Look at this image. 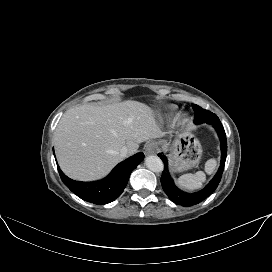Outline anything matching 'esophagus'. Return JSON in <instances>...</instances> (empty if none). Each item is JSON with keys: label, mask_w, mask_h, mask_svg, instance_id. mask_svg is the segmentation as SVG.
Listing matches in <instances>:
<instances>
[{"label": "esophagus", "mask_w": 272, "mask_h": 272, "mask_svg": "<svg viewBox=\"0 0 272 272\" xmlns=\"http://www.w3.org/2000/svg\"><path fill=\"white\" fill-rule=\"evenodd\" d=\"M144 152L147 155L154 154L156 152V145L153 142H149L144 146Z\"/></svg>", "instance_id": "esophagus-1"}]
</instances>
